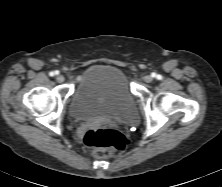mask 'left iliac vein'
<instances>
[{"label":"left iliac vein","mask_w":222,"mask_h":187,"mask_svg":"<svg viewBox=\"0 0 222 187\" xmlns=\"http://www.w3.org/2000/svg\"><path fill=\"white\" fill-rule=\"evenodd\" d=\"M144 81H145L146 83H151V82L153 81V77H152L151 75H146V76L144 77Z\"/></svg>","instance_id":"4c4485c4"}]
</instances>
